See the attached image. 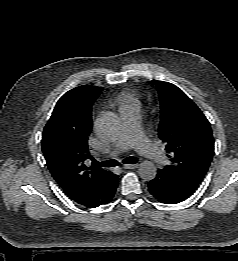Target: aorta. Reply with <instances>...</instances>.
<instances>
[{
    "mask_svg": "<svg viewBox=\"0 0 238 261\" xmlns=\"http://www.w3.org/2000/svg\"><path fill=\"white\" fill-rule=\"evenodd\" d=\"M119 131L120 120L115 113H106L96 122V132L105 139H116ZM138 173L143 180L150 181L155 178L157 169L153 162L146 160L139 165Z\"/></svg>",
    "mask_w": 238,
    "mask_h": 261,
    "instance_id": "1",
    "label": "aorta"
}]
</instances>
